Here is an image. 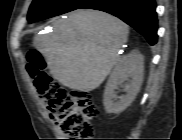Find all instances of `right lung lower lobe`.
I'll list each match as a JSON object with an SVG mask.
<instances>
[{
  "mask_svg": "<svg viewBox=\"0 0 182 140\" xmlns=\"http://www.w3.org/2000/svg\"><path fill=\"white\" fill-rule=\"evenodd\" d=\"M79 8L115 15L141 33L151 45L157 42L155 0H88Z\"/></svg>",
  "mask_w": 182,
  "mask_h": 140,
  "instance_id": "1",
  "label": "right lung lower lobe"
}]
</instances>
